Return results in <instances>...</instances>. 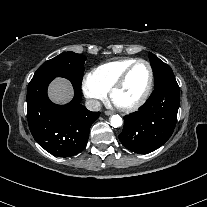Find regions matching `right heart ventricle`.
I'll return each instance as SVG.
<instances>
[{"label": "right heart ventricle", "instance_id": "e07e8e85", "mask_svg": "<svg viewBox=\"0 0 207 207\" xmlns=\"http://www.w3.org/2000/svg\"><path fill=\"white\" fill-rule=\"evenodd\" d=\"M123 58L106 62L94 68L90 74L93 80L106 92L109 91L121 73L134 61Z\"/></svg>", "mask_w": 207, "mask_h": 207}]
</instances>
